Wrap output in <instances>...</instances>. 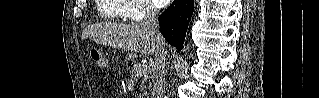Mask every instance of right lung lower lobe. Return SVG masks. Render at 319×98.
Instances as JSON below:
<instances>
[{
  "instance_id": "obj_1",
  "label": "right lung lower lobe",
  "mask_w": 319,
  "mask_h": 98,
  "mask_svg": "<svg viewBox=\"0 0 319 98\" xmlns=\"http://www.w3.org/2000/svg\"><path fill=\"white\" fill-rule=\"evenodd\" d=\"M194 11L193 0H174L159 16L160 32L178 50L183 48L187 27Z\"/></svg>"
}]
</instances>
